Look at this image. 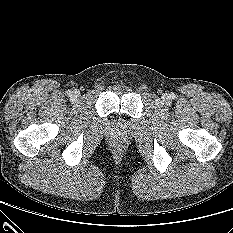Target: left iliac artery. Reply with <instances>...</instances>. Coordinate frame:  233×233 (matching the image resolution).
Returning <instances> with one entry per match:
<instances>
[{
  "instance_id": "44dca946",
  "label": "left iliac artery",
  "mask_w": 233,
  "mask_h": 233,
  "mask_svg": "<svg viewBox=\"0 0 233 233\" xmlns=\"http://www.w3.org/2000/svg\"><path fill=\"white\" fill-rule=\"evenodd\" d=\"M175 97V95L174 94H171V98H174Z\"/></svg>"
}]
</instances>
